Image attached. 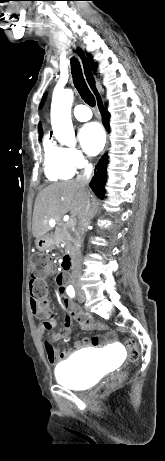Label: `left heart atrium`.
Returning a JSON list of instances; mask_svg holds the SVG:
<instances>
[{"label": "left heart atrium", "instance_id": "1", "mask_svg": "<svg viewBox=\"0 0 165 461\" xmlns=\"http://www.w3.org/2000/svg\"><path fill=\"white\" fill-rule=\"evenodd\" d=\"M82 148L90 155L98 154L104 147L105 134L97 123L84 125L79 132Z\"/></svg>", "mask_w": 165, "mask_h": 461}]
</instances>
